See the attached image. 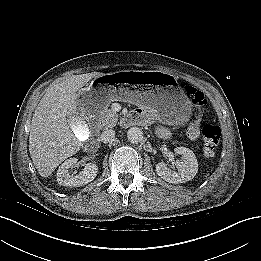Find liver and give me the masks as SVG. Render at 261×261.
<instances>
[{"mask_svg": "<svg viewBox=\"0 0 261 261\" xmlns=\"http://www.w3.org/2000/svg\"><path fill=\"white\" fill-rule=\"evenodd\" d=\"M102 75H72L46 89L35 109L29 136V152L42 177L50 176L61 162L80 150L81 139L74 134L67 117L77 113V92Z\"/></svg>", "mask_w": 261, "mask_h": 261, "instance_id": "6515ba94", "label": "liver"}]
</instances>
